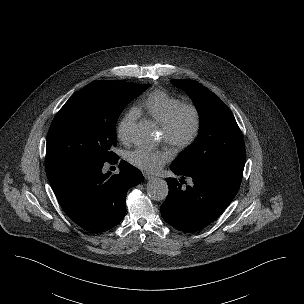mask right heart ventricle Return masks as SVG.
Instances as JSON below:
<instances>
[{
	"instance_id": "1",
	"label": "right heart ventricle",
	"mask_w": 304,
	"mask_h": 304,
	"mask_svg": "<svg viewBox=\"0 0 304 304\" xmlns=\"http://www.w3.org/2000/svg\"><path fill=\"white\" fill-rule=\"evenodd\" d=\"M182 104V101L163 90H155L140 100L135 110L147 115L150 119L162 126Z\"/></svg>"
}]
</instances>
